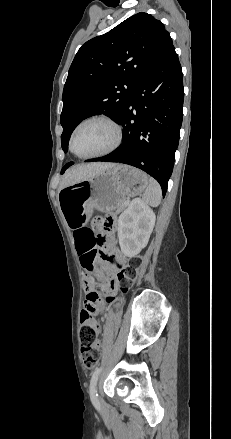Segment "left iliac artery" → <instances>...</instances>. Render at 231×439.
<instances>
[{
    "instance_id": "44dca946",
    "label": "left iliac artery",
    "mask_w": 231,
    "mask_h": 439,
    "mask_svg": "<svg viewBox=\"0 0 231 439\" xmlns=\"http://www.w3.org/2000/svg\"><path fill=\"white\" fill-rule=\"evenodd\" d=\"M101 370H102V367L97 368V369L93 372L92 377H91V380H90V390H89V394H90L91 402L93 403V405H94L95 407H98V406H99L98 394H97V391H96V385H97L98 376H99Z\"/></svg>"
}]
</instances>
